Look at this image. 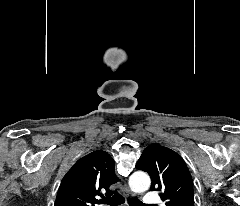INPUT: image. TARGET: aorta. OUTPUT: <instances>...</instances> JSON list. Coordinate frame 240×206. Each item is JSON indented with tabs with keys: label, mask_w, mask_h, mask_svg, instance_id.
Returning <instances> with one entry per match:
<instances>
[{
	"label": "aorta",
	"mask_w": 240,
	"mask_h": 206,
	"mask_svg": "<svg viewBox=\"0 0 240 206\" xmlns=\"http://www.w3.org/2000/svg\"><path fill=\"white\" fill-rule=\"evenodd\" d=\"M150 177L141 171L133 173L129 178V186L132 191L142 193L150 187Z\"/></svg>",
	"instance_id": "obj_1"
}]
</instances>
